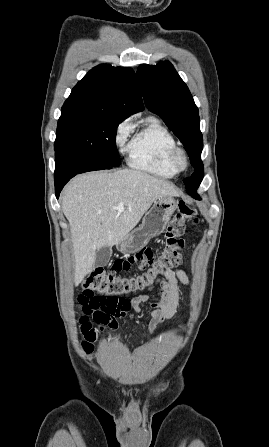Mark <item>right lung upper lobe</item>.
Wrapping results in <instances>:
<instances>
[{
	"label": "right lung upper lobe",
	"mask_w": 269,
	"mask_h": 447,
	"mask_svg": "<svg viewBox=\"0 0 269 447\" xmlns=\"http://www.w3.org/2000/svg\"><path fill=\"white\" fill-rule=\"evenodd\" d=\"M144 109L135 73L130 68L100 64L73 88L61 116H93L124 120Z\"/></svg>",
	"instance_id": "cb5924a9"
}]
</instances>
